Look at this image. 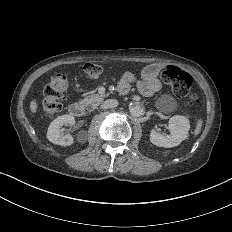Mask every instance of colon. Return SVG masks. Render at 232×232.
<instances>
[{
  "instance_id": "1",
  "label": "colon",
  "mask_w": 232,
  "mask_h": 232,
  "mask_svg": "<svg viewBox=\"0 0 232 232\" xmlns=\"http://www.w3.org/2000/svg\"><path fill=\"white\" fill-rule=\"evenodd\" d=\"M99 72H104V67H98L93 62H88L82 68V73H85L90 79L98 77ZM162 82L167 87L175 86V94L177 97L183 99L189 103V107H200V102H196L198 94L193 90L191 86V79L181 69L176 68L174 65H168L161 71ZM55 81H46L43 94L47 98H37L36 102L41 103V107H44L46 114H50L51 117H59L60 113L57 112L60 109V102L66 101L65 95H59L60 92H64L68 85V80L63 74H54Z\"/></svg>"
}]
</instances>
